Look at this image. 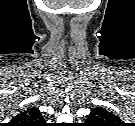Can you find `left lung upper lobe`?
<instances>
[{
    "instance_id": "5c2ea615",
    "label": "left lung upper lobe",
    "mask_w": 135,
    "mask_h": 126,
    "mask_svg": "<svg viewBox=\"0 0 135 126\" xmlns=\"http://www.w3.org/2000/svg\"><path fill=\"white\" fill-rule=\"evenodd\" d=\"M95 126H116L119 119L114 114L103 108H95L87 118Z\"/></svg>"
}]
</instances>
